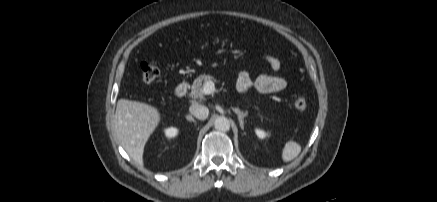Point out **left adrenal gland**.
Wrapping results in <instances>:
<instances>
[{
  "mask_svg": "<svg viewBox=\"0 0 437 202\" xmlns=\"http://www.w3.org/2000/svg\"><path fill=\"white\" fill-rule=\"evenodd\" d=\"M232 110L237 114L240 127L242 130H244V118L247 116L248 112H243L239 108H232Z\"/></svg>",
  "mask_w": 437,
  "mask_h": 202,
  "instance_id": "obj_1",
  "label": "left adrenal gland"
}]
</instances>
